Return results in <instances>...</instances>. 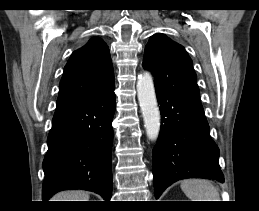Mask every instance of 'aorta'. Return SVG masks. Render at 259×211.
<instances>
[{"label": "aorta", "mask_w": 259, "mask_h": 211, "mask_svg": "<svg viewBox=\"0 0 259 211\" xmlns=\"http://www.w3.org/2000/svg\"><path fill=\"white\" fill-rule=\"evenodd\" d=\"M136 87L146 134L150 140H155L159 136L161 117L152 75L149 72L140 75Z\"/></svg>", "instance_id": "762f6f07"}]
</instances>
